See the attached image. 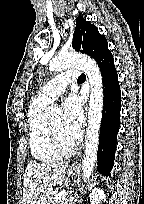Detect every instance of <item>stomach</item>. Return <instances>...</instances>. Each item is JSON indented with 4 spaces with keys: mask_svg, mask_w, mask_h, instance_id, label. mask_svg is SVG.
Returning a JSON list of instances; mask_svg holds the SVG:
<instances>
[{
    "mask_svg": "<svg viewBox=\"0 0 144 204\" xmlns=\"http://www.w3.org/2000/svg\"><path fill=\"white\" fill-rule=\"evenodd\" d=\"M75 173H76V169H74V168H69L68 170H67V174L70 176H72V175H75ZM42 197V196H41ZM41 197L40 198H38L37 200H36V202H35V204H41Z\"/></svg>",
    "mask_w": 144,
    "mask_h": 204,
    "instance_id": "0dacf381",
    "label": "stomach"
}]
</instances>
